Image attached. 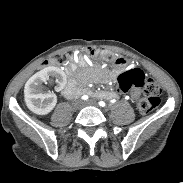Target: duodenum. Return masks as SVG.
Listing matches in <instances>:
<instances>
[{
	"instance_id": "duodenum-1",
	"label": "duodenum",
	"mask_w": 183,
	"mask_h": 183,
	"mask_svg": "<svg viewBox=\"0 0 183 183\" xmlns=\"http://www.w3.org/2000/svg\"><path fill=\"white\" fill-rule=\"evenodd\" d=\"M64 93L67 96H74L75 94L78 93V87L76 86L75 81H70L67 86L64 89Z\"/></svg>"
}]
</instances>
